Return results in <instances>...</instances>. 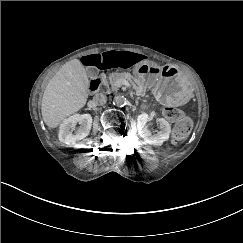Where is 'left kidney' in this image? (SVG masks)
Returning <instances> with one entry per match:
<instances>
[{
	"label": "left kidney",
	"mask_w": 243,
	"mask_h": 243,
	"mask_svg": "<svg viewBox=\"0 0 243 243\" xmlns=\"http://www.w3.org/2000/svg\"><path fill=\"white\" fill-rule=\"evenodd\" d=\"M149 115L146 113L140 114L137 118V130L138 134L144 141L151 145H162L164 141L169 139L171 133V126L164 118H158L157 121L160 124V131L156 134H152L147 128L146 123L149 121Z\"/></svg>",
	"instance_id": "1"
}]
</instances>
